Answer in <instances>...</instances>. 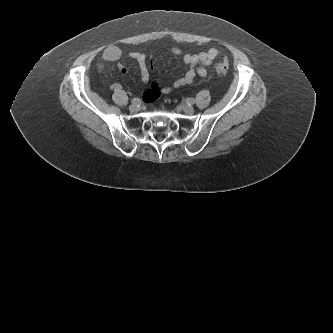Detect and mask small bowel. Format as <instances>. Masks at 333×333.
Instances as JSON below:
<instances>
[{
    "instance_id": "small-bowel-1",
    "label": "small bowel",
    "mask_w": 333,
    "mask_h": 333,
    "mask_svg": "<svg viewBox=\"0 0 333 333\" xmlns=\"http://www.w3.org/2000/svg\"><path fill=\"white\" fill-rule=\"evenodd\" d=\"M172 53L182 57L183 62L187 66L185 74L182 77L175 79L169 86L159 87L158 84L153 82L150 89L144 93L143 101L145 104L150 105L158 100L160 93L168 94L174 89L193 84L197 76L201 78L206 77L209 67L219 55L218 50L215 48H211L198 54L183 53L179 48H174ZM121 56L122 51L120 47L115 45L106 47L102 54V58L108 62H117L120 60ZM129 57L138 64L142 81L148 83L151 76L146 55L134 51L129 53ZM119 70L122 74L126 73V69L122 65L119 66ZM120 88L121 86L118 83H113L111 85L113 91H117Z\"/></svg>"
}]
</instances>
